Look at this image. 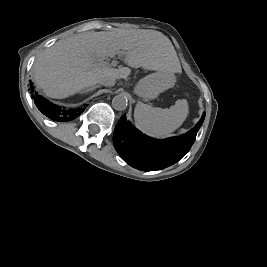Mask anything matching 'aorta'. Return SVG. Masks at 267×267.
<instances>
[{
	"instance_id": "1",
	"label": "aorta",
	"mask_w": 267,
	"mask_h": 267,
	"mask_svg": "<svg viewBox=\"0 0 267 267\" xmlns=\"http://www.w3.org/2000/svg\"><path fill=\"white\" fill-rule=\"evenodd\" d=\"M128 106V99L125 95L119 94L112 99V107L117 111L125 110Z\"/></svg>"
}]
</instances>
